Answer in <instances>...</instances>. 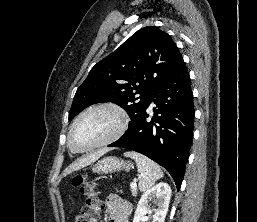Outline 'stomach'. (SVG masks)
Returning <instances> with one entry per match:
<instances>
[{"mask_svg": "<svg viewBox=\"0 0 257 222\" xmlns=\"http://www.w3.org/2000/svg\"><path fill=\"white\" fill-rule=\"evenodd\" d=\"M133 165L117 157H104L97 162L92 168L94 173H112L123 169L130 170Z\"/></svg>", "mask_w": 257, "mask_h": 222, "instance_id": "stomach-1", "label": "stomach"}]
</instances>
